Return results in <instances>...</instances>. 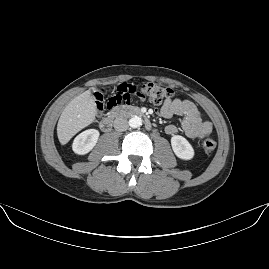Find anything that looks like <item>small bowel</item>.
Here are the masks:
<instances>
[{
	"label": "small bowel",
	"instance_id": "obj_1",
	"mask_svg": "<svg viewBox=\"0 0 269 269\" xmlns=\"http://www.w3.org/2000/svg\"><path fill=\"white\" fill-rule=\"evenodd\" d=\"M159 113L164 118L181 117V127L186 136L191 139H202L212 132V124L202 119L196 105L190 100L181 98L168 100L160 108ZM166 132L174 135L177 127L168 125Z\"/></svg>",
	"mask_w": 269,
	"mask_h": 269
}]
</instances>
